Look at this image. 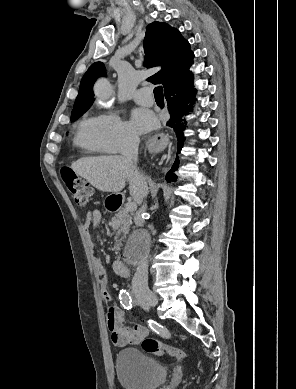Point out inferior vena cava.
<instances>
[{
	"label": "inferior vena cava",
	"instance_id": "obj_1",
	"mask_svg": "<svg viewBox=\"0 0 296 389\" xmlns=\"http://www.w3.org/2000/svg\"><path fill=\"white\" fill-rule=\"evenodd\" d=\"M140 139L138 135L134 133H128L124 139L123 147H122V155L127 159V161L131 165L132 174L139 176L142 181H144L145 195L147 196V185L145 183L144 177L139 173L136 162L138 158V147H139ZM145 196V197H146ZM147 205L144 203L142 207L138 210L136 214V224L139 227L144 225L143 214L146 211ZM132 290L134 295L136 296L139 302H144L148 299L153 298L152 292L148 287V264L146 260H143L133 277L132 280Z\"/></svg>",
	"mask_w": 296,
	"mask_h": 389
}]
</instances>
